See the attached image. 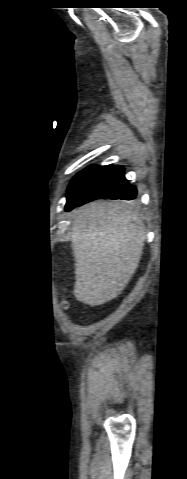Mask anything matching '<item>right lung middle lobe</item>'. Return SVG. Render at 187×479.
Segmentation results:
<instances>
[{"mask_svg": "<svg viewBox=\"0 0 187 479\" xmlns=\"http://www.w3.org/2000/svg\"><path fill=\"white\" fill-rule=\"evenodd\" d=\"M92 169V166L86 168L85 170L81 171L76 175V177L71 181L68 189H70L83 175H85L88 171Z\"/></svg>", "mask_w": 187, "mask_h": 479, "instance_id": "dd1d6c3e", "label": "right lung middle lobe"}]
</instances>
